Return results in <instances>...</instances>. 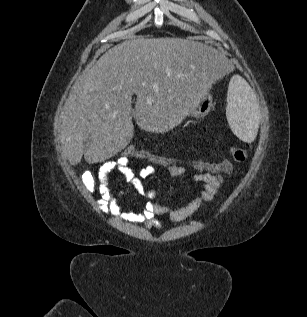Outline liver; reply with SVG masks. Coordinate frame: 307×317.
<instances>
[{"mask_svg": "<svg viewBox=\"0 0 307 317\" xmlns=\"http://www.w3.org/2000/svg\"><path fill=\"white\" fill-rule=\"evenodd\" d=\"M227 64L222 51L191 37L125 40L74 85L61 114L63 154L71 165L114 156L133 137L132 117L147 132L173 129L212 81L222 82Z\"/></svg>", "mask_w": 307, "mask_h": 317, "instance_id": "obj_1", "label": "liver"}]
</instances>
